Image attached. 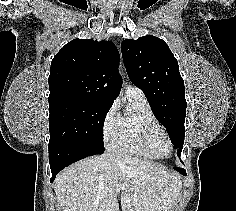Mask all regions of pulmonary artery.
Returning a JSON list of instances; mask_svg holds the SVG:
<instances>
[{
  "instance_id": "1",
  "label": "pulmonary artery",
  "mask_w": 236,
  "mask_h": 211,
  "mask_svg": "<svg viewBox=\"0 0 236 211\" xmlns=\"http://www.w3.org/2000/svg\"><path fill=\"white\" fill-rule=\"evenodd\" d=\"M125 94L126 97H144L143 92L135 86L127 87Z\"/></svg>"
}]
</instances>
